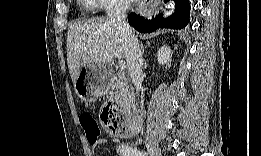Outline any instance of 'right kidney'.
I'll list each match as a JSON object with an SVG mask.
<instances>
[{"mask_svg":"<svg viewBox=\"0 0 261 156\" xmlns=\"http://www.w3.org/2000/svg\"><path fill=\"white\" fill-rule=\"evenodd\" d=\"M172 52L167 46H162L157 53V60L160 65H169L171 62Z\"/></svg>","mask_w":261,"mask_h":156,"instance_id":"ca27d5eb","label":"right kidney"}]
</instances>
